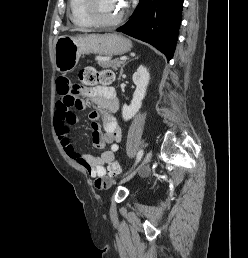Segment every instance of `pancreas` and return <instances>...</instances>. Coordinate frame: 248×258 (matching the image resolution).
Masks as SVG:
<instances>
[{
	"instance_id": "obj_1",
	"label": "pancreas",
	"mask_w": 248,
	"mask_h": 258,
	"mask_svg": "<svg viewBox=\"0 0 248 258\" xmlns=\"http://www.w3.org/2000/svg\"><path fill=\"white\" fill-rule=\"evenodd\" d=\"M96 61L98 62V64L101 67L112 68L115 71H117L124 64V61H121L120 59L110 60V59H104V58L97 57Z\"/></svg>"
}]
</instances>
